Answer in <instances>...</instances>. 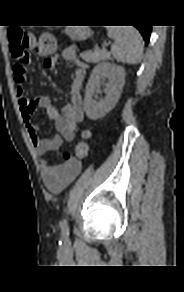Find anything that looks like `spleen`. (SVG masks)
I'll return each mask as SVG.
<instances>
[{
	"label": "spleen",
	"instance_id": "obj_1",
	"mask_svg": "<svg viewBox=\"0 0 184 292\" xmlns=\"http://www.w3.org/2000/svg\"><path fill=\"white\" fill-rule=\"evenodd\" d=\"M108 36L114 40L111 53L120 63L137 65L143 56V41L137 29L132 26L109 27Z\"/></svg>",
	"mask_w": 184,
	"mask_h": 292
}]
</instances>
